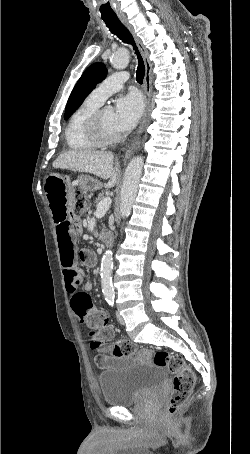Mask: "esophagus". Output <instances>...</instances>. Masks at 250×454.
Wrapping results in <instances>:
<instances>
[{
  "mask_svg": "<svg viewBox=\"0 0 250 454\" xmlns=\"http://www.w3.org/2000/svg\"><path fill=\"white\" fill-rule=\"evenodd\" d=\"M119 19L132 33V35L136 41V44L143 56L144 63H145L144 98H145L146 107H145V112H144L142 123L138 129V133L141 134L144 130L147 118L150 113V101H151V94H152V65L149 61L148 50L145 48L142 41L139 39V37L134 32V29L131 26V24L129 23L128 19L124 15H119ZM128 155H130V154H128Z\"/></svg>",
  "mask_w": 250,
  "mask_h": 454,
  "instance_id": "1",
  "label": "esophagus"
}]
</instances>
